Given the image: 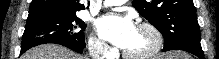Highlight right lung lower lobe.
Listing matches in <instances>:
<instances>
[{
    "mask_svg": "<svg viewBox=\"0 0 219 59\" xmlns=\"http://www.w3.org/2000/svg\"><path fill=\"white\" fill-rule=\"evenodd\" d=\"M60 45H63L75 52H78V53H82L83 52V48L84 46H80V45H75V44H71V43H61ZM24 52H20V55L23 54Z\"/></svg>",
    "mask_w": 219,
    "mask_h": 59,
    "instance_id": "right-lung-lower-lobe-1",
    "label": "right lung lower lobe"
}]
</instances>
